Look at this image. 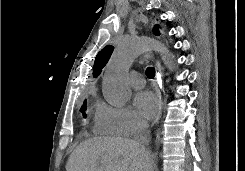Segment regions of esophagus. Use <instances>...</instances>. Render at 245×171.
Segmentation results:
<instances>
[{
	"label": "esophagus",
	"instance_id": "34e87169",
	"mask_svg": "<svg viewBox=\"0 0 245 171\" xmlns=\"http://www.w3.org/2000/svg\"><path fill=\"white\" fill-rule=\"evenodd\" d=\"M154 87H155V91L157 94V99H158V111L156 114V123H158V121L161 118V114H162V109H163V105H164V97H163V69L162 66L160 65L159 62L156 63V76H155V80H154Z\"/></svg>",
	"mask_w": 245,
	"mask_h": 171
}]
</instances>
